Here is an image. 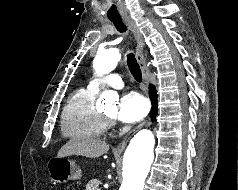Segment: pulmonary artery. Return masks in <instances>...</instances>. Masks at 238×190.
<instances>
[{"mask_svg": "<svg viewBox=\"0 0 238 190\" xmlns=\"http://www.w3.org/2000/svg\"><path fill=\"white\" fill-rule=\"evenodd\" d=\"M105 84L115 89H121L124 86L122 78L118 74H110L103 79H94L90 82L89 87L94 90H99L100 85Z\"/></svg>", "mask_w": 238, "mask_h": 190, "instance_id": "e3ab8cb5", "label": "pulmonary artery"}]
</instances>
